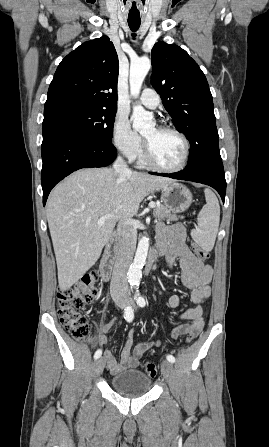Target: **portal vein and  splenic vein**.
I'll use <instances>...</instances> for the list:
<instances>
[{
    "label": "portal vein and splenic vein",
    "mask_w": 269,
    "mask_h": 447,
    "mask_svg": "<svg viewBox=\"0 0 269 447\" xmlns=\"http://www.w3.org/2000/svg\"><path fill=\"white\" fill-rule=\"evenodd\" d=\"M148 209L153 210L156 207L155 202L150 201L147 204ZM111 218H114V216H111V214H107V216H103V218H100V220H98L97 224L101 225V224H105V220H111Z\"/></svg>",
    "instance_id": "1"
}]
</instances>
